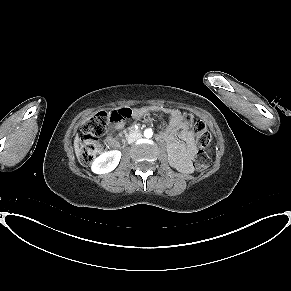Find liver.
<instances>
[{
    "label": "liver",
    "mask_w": 291,
    "mask_h": 291,
    "mask_svg": "<svg viewBox=\"0 0 291 291\" xmlns=\"http://www.w3.org/2000/svg\"><path fill=\"white\" fill-rule=\"evenodd\" d=\"M74 149H75L76 156L79 157L80 156V149H79L78 136L75 138V141H74Z\"/></svg>",
    "instance_id": "liver-1"
}]
</instances>
